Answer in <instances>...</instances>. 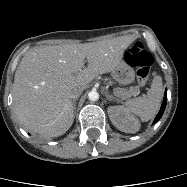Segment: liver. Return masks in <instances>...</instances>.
<instances>
[{
  "label": "liver",
  "instance_id": "1",
  "mask_svg": "<svg viewBox=\"0 0 187 187\" xmlns=\"http://www.w3.org/2000/svg\"><path fill=\"white\" fill-rule=\"evenodd\" d=\"M132 42L131 37L124 36L92 43L42 46L26 52L13 83V107L20 122L43 136L64 134L74 120L71 91L86 88L99 74L112 72Z\"/></svg>",
  "mask_w": 187,
  "mask_h": 187
}]
</instances>
